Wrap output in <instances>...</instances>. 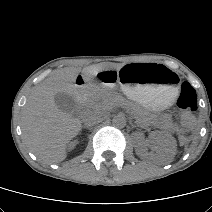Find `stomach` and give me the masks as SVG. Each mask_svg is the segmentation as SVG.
Instances as JSON below:
<instances>
[{"label": "stomach", "mask_w": 212, "mask_h": 212, "mask_svg": "<svg viewBox=\"0 0 212 212\" xmlns=\"http://www.w3.org/2000/svg\"><path fill=\"white\" fill-rule=\"evenodd\" d=\"M90 81L103 82L123 93L143 107L160 110L175 100L178 82L174 72L156 63L127 64L103 69L90 68Z\"/></svg>", "instance_id": "1"}]
</instances>
